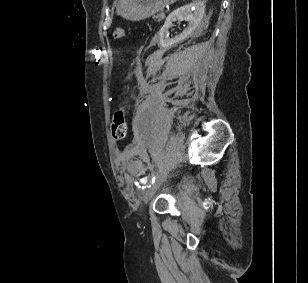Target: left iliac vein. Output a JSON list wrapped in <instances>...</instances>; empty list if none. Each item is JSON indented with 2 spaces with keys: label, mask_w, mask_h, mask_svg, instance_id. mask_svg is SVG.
Returning <instances> with one entry per match:
<instances>
[{
  "label": "left iliac vein",
  "mask_w": 308,
  "mask_h": 283,
  "mask_svg": "<svg viewBox=\"0 0 308 283\" xmlns=\"http://www.w3.org/2000/svg\"><path fill=\"white\" fill-rule=\"evenodd\" d=\"M161 182H162V179L160 177L157 178V180L153 183V185L145 192L144 197H143L145 204H147L151 200V198L154 196Z\"/></svg>",
  "instance_id": "1"
}]
</instances>
